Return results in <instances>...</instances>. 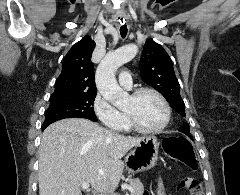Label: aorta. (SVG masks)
Returning <instances> with one entry per match:
<instances>
[{"instance_id":"aorta-1","label":"aorta","mask_w":240,"mask_h":195,"mask_svg":"<svg viewBox=\"0 0 240 195\" xmlns=\"http://www.w3.org/2000/svg\"><path fill=\"white\" fill-rule=\"evenodd\" d=\"M137 50V46L128 44V46L118 48L116 52H108L96 70L95 82L99 94L104 99L111 101L116 107H119L122 99L126 98L127 94L118 86L115 74L120 66L135 58Z\"/></svg>"}]
</instances>
